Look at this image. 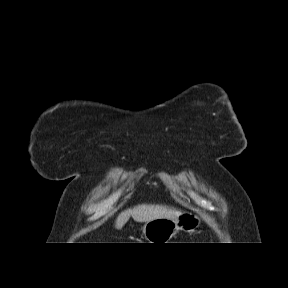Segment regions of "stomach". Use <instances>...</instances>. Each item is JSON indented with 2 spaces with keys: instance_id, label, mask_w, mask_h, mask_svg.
Wrapping results in <instances>:
<instances>
[{
  "instance_id": "1",
  "label": "stomach",
  "mask_w": 288,
  "mask_h": 288,
  "mask_svg": "<svg viewBox=\"0 0 288 288\" xmlns=\"http://www.w3.org/2000/svg\"><path fill=\"white\" fill-rule=\"evenodd\" d=\"M201 219L191 212H182L176 218H157L145 222L142 232L148 243H168L179 231H193L199 227Z\"/></svg>"
}]
</instances>
